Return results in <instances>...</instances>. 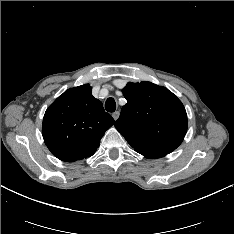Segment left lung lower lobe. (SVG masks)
I'll use <instances>...</instances> for the list:
<instances>
[{"instance_id": "left-lung-lower-lobe-1", "label": "left lung lower lobe", "mask_w": 234, "mask_h": 234, "mask_svg": "<svg viewBox=\"0 0 234 234\" xmlns=\"http://www.w3.org/2000/svg\"><path fill=\"white\" fill-rule=\"evenodd\" d=\"M138 153H140V152H138ZM140 154H142L145 157L150 158V159L160 158V157H163L166 155L164 153H140Z\"/></svg>"}]
</instances>
